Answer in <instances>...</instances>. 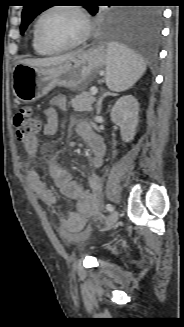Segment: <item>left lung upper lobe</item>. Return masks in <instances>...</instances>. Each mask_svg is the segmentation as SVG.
<instances>
[{
	"label": "left lung upper lobe",
	"instance_id": "5c2ea615",
	"mask_svg": "<svg viewBox=\"0 0 184 327\" xmlns=\"http://www.w3.org/2000/svg\"><path fill=\"white\" fill-rule=\"evenodd\" d=\"M48 2L45 0H28L22 12L21 34H23L30 22L42 11L48 8ZM88 12L93 16H99L105 27L117 30L123 27L132 17L125 15L119 10H110L107 12H99L96 5L86 6Z\"/></svg>",
	"mask_w": 184,
	"mask_h": 327
}]
</instances>
